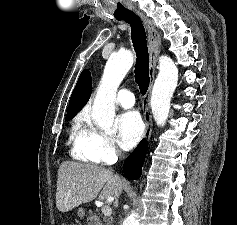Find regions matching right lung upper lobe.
Wrapping results in <instances>:
<instances>
[{"label": "right lung upper lobe", "instance_id": "obj_1", "mask_svg": "<svg viewBox=\"0 0 237 225\" xmlns=\"http://www.w3.org/2000/svg\"><path fill=\"white\" fill-rule=\"evenodd\" d=\"M92 91L91 73L89 70H83L72 92L67 115H76V113L86 105Z\"/></svg>", "mask_w": 237, "mask_h": 225}]
</instances>
